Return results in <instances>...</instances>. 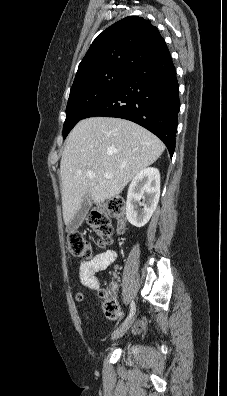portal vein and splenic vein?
Listing matches in <instances>:
<instances>
[{
    "label": "portal vein and splenic vein",
    "instance_id": "portal-vein-and-splenic-vein-1",
    "mask_svg": "<svg viewBox=\"0 0 227 396\" xmlns=\"http://www.w3.org/2000/svg\"><path fill=\"white\" fill-rule=\"evenodd\" d=\"M87 176L92 179V178H95L96 174L93 171H88ZM104 177L110 178L112 176L109 173H104Z\"/></svg>",
    "mask_w": 227,
    "mask_h": 396
}]
</instances>
